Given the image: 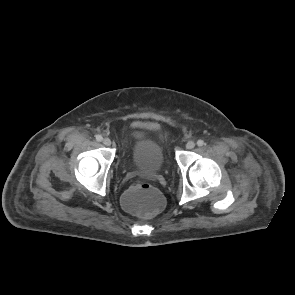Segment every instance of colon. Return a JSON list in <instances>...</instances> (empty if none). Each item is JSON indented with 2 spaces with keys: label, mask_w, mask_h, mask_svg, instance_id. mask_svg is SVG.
Segmentation results:
<instances>
[{
  "label": "colon",
  "mask_w": 295,
  "mask_h": 295,
  "mask_svg": "<svg viewBox=\"0 0 295 295\" xmlns=\"http://www.w3.org/2000/svg\"><path fill=\"white\" fill-rule=\"evenodd\" d=\"M123 207L137 217H149L156 214L163 205L161 193L144 176L133 178L129 189L121 196Z\"/></svg>",
  "instance_id": "1"
}]
</instances>
